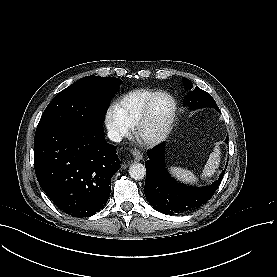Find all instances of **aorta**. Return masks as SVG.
<instances>
[{
    "instance_id": "1",
    "label": "aorta",
    "mask_w": 277,
    "mask_h": 277,
    "mask_svg": "<svg viewBox=\"0 0 277 277\" xmlns=\"http://www.w3.org/2000/svg\"><path fill=\"white\" fill-rule=\"evenodd\" d=\"M129 175L134 180H142L146 176V168L141 163H133L129 168Z\"/></svg>"
}]
</instances>
